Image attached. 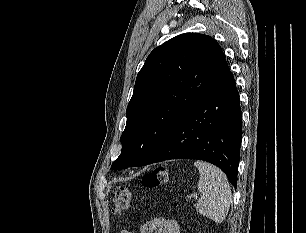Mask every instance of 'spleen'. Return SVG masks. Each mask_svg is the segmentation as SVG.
I'll return each mask as SVG.
<instances>
[{"label": "spleen", "instance_id": "1", "mask_svg": "<svg viewBox=\"0 0 306 233\" xmlns=\"http://www.w3.org/2000/svg\"><path fill=\"white\" fill-rule=\"evenodd\" d=\"M199 170L198 190L202 194L197 201L196 210L216 223L226 218L230 202L231 189L224 172L207 162L194 163Z\"/></svg>", "mask_w": 306, "mask_h": 233}]
</instances>
